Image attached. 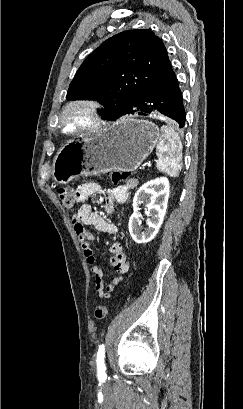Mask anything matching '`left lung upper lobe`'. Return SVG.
Wrapping results in <instances>:
<instances>
[{"label":"left lung upper lobe","instance_id":"left-lung-upper-lobe-1","mask_svg":"<svg viewBox=\"0 0 243 409\" xmlns=\"http://www.w3.org/2000/svg\"><path fill=\"white\" fill-rule=\"evenodd\" d=\"M171 69L163 42L151 30L124 31L87 57L66 98L97 100L106 108L103 117L113 120Z\"/></svg>","mask_w":243,"mask_h":409}]
</instances>
